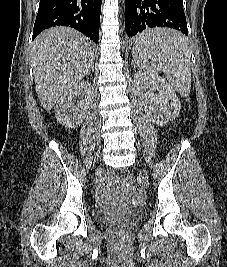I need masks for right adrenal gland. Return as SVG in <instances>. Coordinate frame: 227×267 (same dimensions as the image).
I'll use <instances>...</instances> for the list:
<instances>
[{
    "label": "right adrenal gland",
    "instance_id": "1",
    "mask_svg": "<svg viewBox=\"0 0 227 267\" xmlns=\"http://www.w3.org/2000/svg\"><path fill=\"white\" fill-rule=\"evenodd\" d=\"M91 70L94 71V65L91 67Z\"/></svg>",
    "mask_w": 227,
    "mask_h": 267
}]
</instances>
